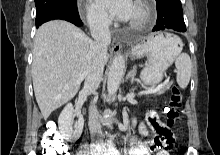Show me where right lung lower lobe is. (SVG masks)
I'll use <instances>...</instances> for the list:
<instances>
[{"instance_id": "98d812e1", "label": "right lung lower lobe", "mask_w": 220, "mask_h": 155, "mask_svg": "<svg viewBox=\"0 0 220 155\" xmlns=\"http://www.w3.org/2000/svg\"><path fill=\"white\" fill-rule=\"evenodd\" d=\"M55 19H61L69 21L76 26H82L83 23L79 17L78 10L77 11H71L66 9H54L47 11L45 13H42L40 15L36 16V27L38 28L41 24Z\"/></svg>"}]
</instances>
